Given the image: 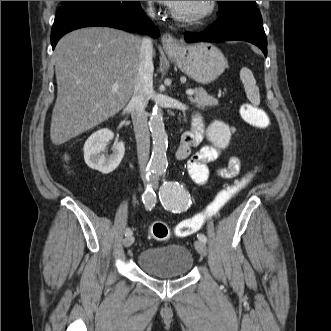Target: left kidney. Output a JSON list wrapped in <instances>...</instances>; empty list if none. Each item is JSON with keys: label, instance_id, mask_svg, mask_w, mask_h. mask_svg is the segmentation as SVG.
Here are the masks:
<instances>
[{"label": "left kidney", "instance_id": "5707ae66", "mask_svg": "<svg viewBox=\"0 0 331 331\" xmlns=\"http://www.w3.org/2000/svg\"><path fill=\"white\" fill-rule=\"evenodd\" d=\"M207 139L219 148H226L231 139V131L228 125L221 121H214L206 130Z\"/></svg>", "mask_w": 331, "mask_h": 331}]
</instances>
